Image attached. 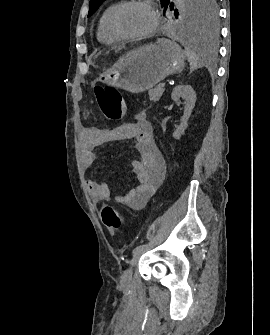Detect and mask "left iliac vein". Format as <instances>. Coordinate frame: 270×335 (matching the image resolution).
I'll return each mask as SVG.
<instances>
[{
	"label": "left iliac vein",
	"mask_w": 270,
	"mask_h": 335,
	"mask_svg": "<svg viewBox=\"0 0 270 335\" xmlns=\"http://www.w3.org/2000/svg\"><path fill=\"white\" fill-rule=\"evenodd\" d=\"M142 254L143 251L135 253L130 261L129 267L123 272L121 276V285L123 287H126L130 284L133 275V268L138 263Z\"/></svg>",
	"instance_id": "left-iliac-vein-1"
}]
</instances>
